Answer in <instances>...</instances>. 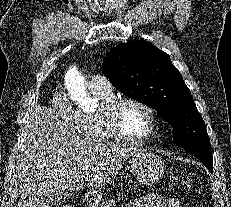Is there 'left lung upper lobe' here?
I'll return each mask as SVG.
<instances>
[{"instance_id": "obj_1", "label": "left lung upper lobe", "mask_w": 231, "mask_h": 207, "mask_svg": "<svg viewBox=\"0 0 231 207\" xmlns=\"http://www.w3.org/2000/svg\"><path fill=\"white\" fill-rule=\"evenodd\" d=\"M103 72L120 92L157 110L176 145L213 159L204 120L169 55L145 40L119 44L104 58Z\"/></svg>"}]
</instances>
